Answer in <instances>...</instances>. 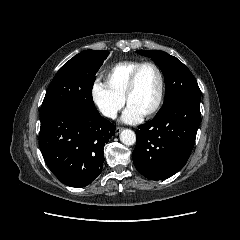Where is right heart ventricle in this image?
<instances>
[{
    "mask_svg": "<svg viewBox=\"0 0 240 240\" xmlns=\"http://www.w3.org/2000/svg\"><path fill=\"white\" fill-rule=\"evenodd\" d=\"M141 63L136 60H126L114 64L105 74L106 83L112 90L124 98L129 77Z\"/></svg>",
    "mask_w": 240,
    "mask_h": 240,
    "instance_id": "1",
    "label": "right heart ventricle"
}]
</instances>
